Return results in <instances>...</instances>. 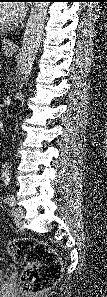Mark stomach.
<instances>
[{
	"label": "stomach",
	"instance_id": "1",
	"mask_svg": "<svg viewBox=\"0 0 107 297\" xmlns=\"http://www.w3.org/2000/svg\"><path fill=\"white\" fill-rule=\"evenodd\" d=\"M3 50H4V55L7 57H12L15 53V49L4 48Z\"/></svg>",
	"mask_w": 107,
	"mask_h": 297
}]
</instances>
